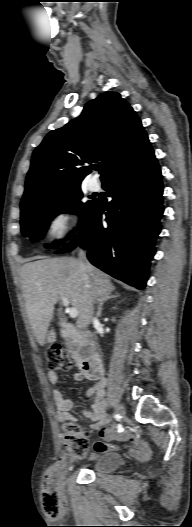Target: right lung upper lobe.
<instances>
[{
    "label": "right lung upper lobe",
    "instance_id": "cb5924a9",
    "mask_svg": "<svg viewBox=\"0 0 192 527\" xmlns=\"http://www.w3.org/2000/svg\"><path fill=\"white\" fill-rule=\"evenodd\" d=\"M148 141L136 112L117 92L89 101L81 115L51 131L34 150L20 206L80 187L94 163L101 181Z\"/></svg>",
    "mask_w": 192,
    "mask_h": 527
}]
</instances>
